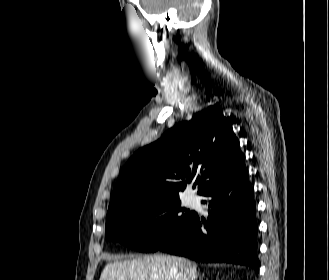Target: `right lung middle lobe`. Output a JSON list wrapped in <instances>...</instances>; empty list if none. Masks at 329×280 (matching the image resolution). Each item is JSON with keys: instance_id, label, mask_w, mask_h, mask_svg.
I'll list each match as a JSON object with an SVG mask.
<instances>
[{"instance_id": "dd1d6c3e", "label": "right lung middle lobe", "mask_w": 329, "mask_h": 280, "mask_svg": "<svg viewBox=\"0 0 329 280\" xmlns=\"http://www.w3.org/2000/svg\"><path fill=\"white\" fill-rule=\"evenodd\" d=\"M179 196H148L107 212L108 240L140 252H154L181 233L195 216Z\"/></svg>"}]
</instances>
